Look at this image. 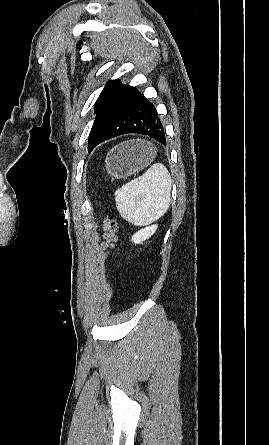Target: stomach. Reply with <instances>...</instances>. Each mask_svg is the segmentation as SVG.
<instances>
[{"label":"stomach","mask_w":269,"mask_h":445,"mask_svg":"<svg viewBox=\"0 0 269 445\" xmlns=\"http://www.w3.org/2000/svg\"><path fill=\"white\" fill-rule=\"evenodd\" d=\"M155 153V147L149 142H125L110 150L105 166L112 177L126 178L146 167L153 160Z\"/></svg>","instance_id":"obj_1"}]
</instances>
